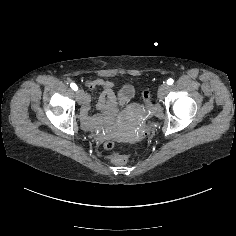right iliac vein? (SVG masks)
Listing matches in <instances>:
<instances>
[{"instance_id":"1","label":"right iliac vein","mask_w":236,"mask_h":236,"mask_svg":"<svg viewBox=\"0 0 236 236\" xmlns=\"http://www.w3.org/2000/svg\"><path fill=\"white\" fill-rule=\"evenodd\" d=\"M85 98V93L82 90L76 92V100L78 104H82Z\"/></svg>"}]
</instances>
